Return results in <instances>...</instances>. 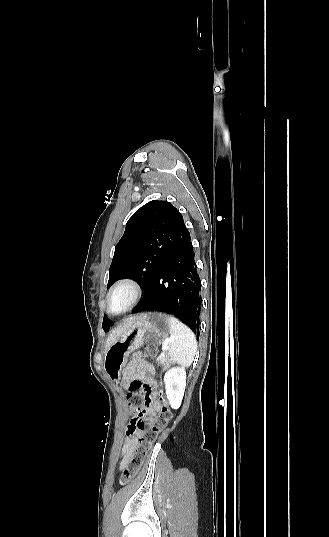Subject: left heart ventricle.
I'll list each match as a JSON object with an SVG mask.
<instances>
[{
	"mask_svg": "<svg viewBox=\"0 0 329 537\" xmlns=\"http://www.w3.org/2000/svg\"><path fill=\"white\" fill-rule=\"evenodd\" d=\"M133 299V292L128 287H121L115 291L110 299L112 311L121 312L126 309Z\"/></svg>",
	"mask_w": 329,
	"mask_h": 537,
	"instance_id": "1",
	"label": "left heart ventricle"
}]
</instances>
